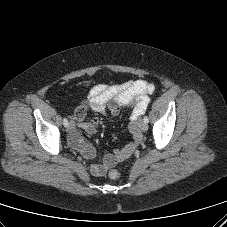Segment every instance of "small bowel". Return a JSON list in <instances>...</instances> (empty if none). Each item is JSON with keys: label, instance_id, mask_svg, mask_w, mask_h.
I'll return each instance as SVG.
<instances>
[{"label": "small bowel", "instance_id": "1", "mask_svg": "<svg viewBox=\"0 0 227 227\" xmlns=\"http://www.w3.org/2000/svg\"><path fill=\"white\" fill-rule=\"evenodd\" d=\"M153 91L154 85L144 80L128 81L115 85L98 84L90 90L85 100L81 102L76 110L75 118L78 127L90 135L95 134L98 120H84L88 110L109 112L111 116H117L122 108L132 107L129 130L133 136V141L113 153L106 154L101 162L92 163L90 166L92 175H104L107 169L127 159L135 151L141 141L137 122L146 111L149 94ZM69 144L86 158H93L95 155L94 149L83 140L76 128L69 134Z\"/></svg>", "mask_w": 227, "mask_h": 227}]
</instances>
